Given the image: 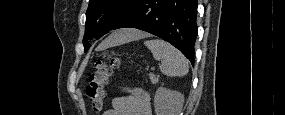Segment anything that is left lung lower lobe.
<instances>
[{"mask_svg": "<svg viewBox=\"0 0 285 115\" xmlns=\"http://www.w3.org/2000/svg\"><path fill=\"white\" fill-rule=\"evenodd\" d=\"M197 6L196 0H137L113 28H136L156 35L193 64Z\"/></svg>", "mask_w": 285, "mask_h": 115, "instance_id": "1", "label": "left lung lower lobe"}]
</instances>
